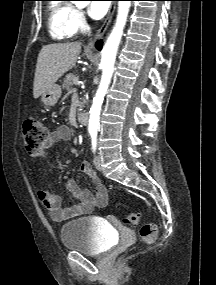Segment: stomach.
I'll list each match as a JSON object with an SVG mask.
<instances>
[{"mask_svg":"<svg viewBox=\"0 0 216 285\" xmlns=\"http://www.w3.org/2000/svg\"><path fill=\"white\" fill-rule=\"evenodd\" d=\"M61 93V86L58 84H53L47 91L42 93L41 101L46 106H54L61 97Z\"/></svg>","mask_w":216,"mask_h":285,"instance_id":"1","label":"stomach"}]
</instances>
